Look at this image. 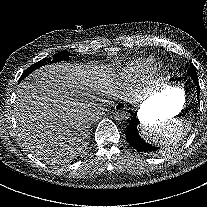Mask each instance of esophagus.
Returning a JSON list of instances; mask_svg holds the SVG:
<instances>
[{
  "instance_id": "obj_1",
  "label": "esophagus",
  "mask_w": 207,
  "mask_h": 207,
  "mask_svg": "<svg viewBox=\"0 0 207 207\" xmlns=\"http://www.w3.org/2000/svg\"><path fill=\"white\" fill-rule=\"evenodd\" d=\"M117 108H122V109H125V102L124 101H117L116 102V105H115V109Z\"/></svg>"
}]
</instances>
